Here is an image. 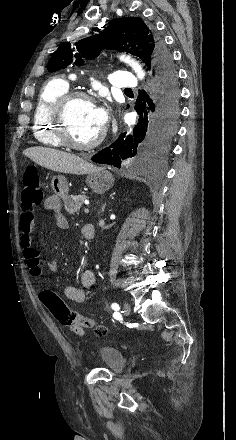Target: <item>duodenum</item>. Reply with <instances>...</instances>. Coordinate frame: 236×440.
Instances as JSON below:
<instances>
[{
	"label": "duodenum",
	"mask_w": 236,
	"mask_h": 440,
	"mask_svg": "<svg viewBox=\"0 0 236 440\" xmlns=\"http://www.w3.org/2000/svg\"><path fill=\"white\" fill-rule=\"evenodd\" d=\"M83 232H84L85 237L92 239L95 235L94 226L91 224L85 225L83 228Z\"/></svg>",
	"instance_id": "obj_1"
}]
</instances>
